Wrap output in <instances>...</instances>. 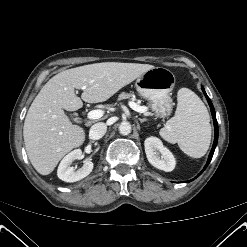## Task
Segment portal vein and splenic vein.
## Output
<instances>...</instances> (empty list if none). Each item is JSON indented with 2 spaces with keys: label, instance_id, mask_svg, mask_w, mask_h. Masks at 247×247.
<instances>
[{
  "label": "portal vein and splenic vein",
  "instance_id": "obj_1",
  "mask_svg": "<svg viewBox=\"0 0 247 247\" xmlns=\"http://www.w3.org/2000/svg\"><path fill=\"white\" fill-rule=\"evenodd\" d=\"M129 106H130L133 110H135V111H137V112H139V113L145 112V107L139 106V105H137L135 102H129ZM102 116H103V111H102V110H99V109H97V110H92V111H90V112L87 114V117H88V119H90V120L99 119V118H101Z\"/></svg>",
  "mask_w": 247,
  "mask_h": 247
}]
</instances>
